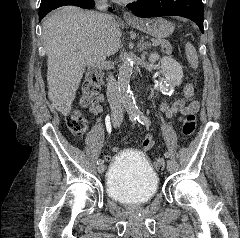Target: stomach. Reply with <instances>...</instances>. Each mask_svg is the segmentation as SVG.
Masks as SVG:
<instances>
[{
  "label": "stomach",
  "mask_w": 240,
  "mask_h": 238,
  "mask_svg": "<svg viewBox=\"0 0 240 238\" xmlns=\"http://www.w3.org/2000/svg\"><path fill=\"white\" fill-rule=\"evenodd\" d=\"M131 26L156 38H166L174 31V24L164 18L141 19Z\"/></svg>",
  "instance_id": "obj_1"
}]
</instances>
